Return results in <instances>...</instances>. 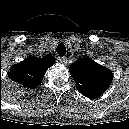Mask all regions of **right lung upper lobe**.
I'll return each mask as SVG.
<instances>
[{"label": "right lung upper lobe", "mask_w": 129, "mask_h": 129, "mask_svg": "<svg viewBox=\"0 0 129 129\" xmlns=\"http://www.w3.org/2000/svg\"><path fill=\"white\" fill-rule=\"evenodd\" d=\"M39 64H40L39 59L30 58V59L23 61L20 64V66H21V69H23V70H31L32 72L34 71V74L38 78L39 76H41V74L43 72V69L39 70V68H41V67H38V66H40Z\"/></svg>", "instance_id": "1"}]
</instances>
